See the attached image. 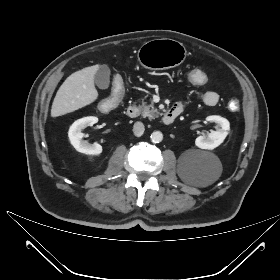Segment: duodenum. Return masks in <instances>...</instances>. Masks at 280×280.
Returning <instances> with one entry per match:
<instances>
[{
	"instance_id": "duodenum-1",
	"label": "duodenum",
	"mask_w": 280,
	"mask_h": 280,
	"mask_svg": "<svg viewBox=\"0 0 280 280\" xmlns=\"http://www.w3.org/2000/svg\"><path fill=\"white\" fill-rule=\"evenodd\" d=\"M182 109L179 108V107H171L170 109H168L163 118H162V121L165 125H169L171 124L175 119L176 117L181 113ZM126 115L129 117V118H135L137 117L138 115V108L137 106L131 104V105H128L127 108H126Z\"/></svg>"
}]
</instances>
